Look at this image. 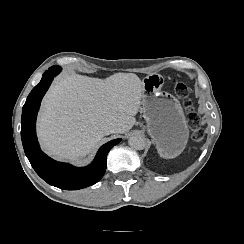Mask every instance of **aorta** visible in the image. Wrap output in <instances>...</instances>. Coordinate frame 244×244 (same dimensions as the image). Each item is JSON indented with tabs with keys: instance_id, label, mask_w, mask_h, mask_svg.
<instances>
[{
	"instance_id": "762f6f07",
	"label": "aorta",
	"mask_w": 244,
	"mask_h": 244,
	"mask_svg": "<svg viewBox=\"0 0 244 244\" xmlns=\"http://www.w3.org/2000/svg\"><path fill=\"white\" fill-rule=\"evenodd\" d=\"M128 143L130 147L136 150H143L145 148V139L140 135H132Z\"/></svg>"
}]
</instances>
